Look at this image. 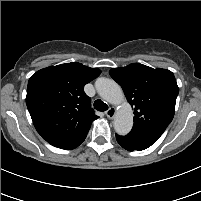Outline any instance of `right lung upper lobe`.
I'll list each match as a JSON object with an SVG mask.
<instances>
[{"instance_id": "cb5924a9", "label": "right lung upper lobe", "mask_w": 201, "mask_h": 201, "mask_svg": "<svg viewBox=\"0 0 201 201\" xmlns=\"http://www.w3.org/2000/svg\"><path fill=\"white\" fill-rule=\"evenodd\" d=\"M100 73L97 68L72 62L41 69L29 79L26 104L44 140L70 141L87 135L98 116L84 85Z\"/></svg>"}]
</instances>
